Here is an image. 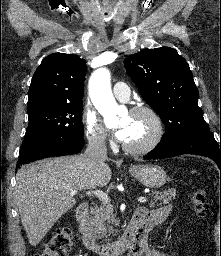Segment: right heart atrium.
<instances>
[{
	"instance_id": "obj_1",
	"label": "right heart atrium",
	"mask_w": 221,
	"mask_h": 256,
	"mask_svg": "<svg viewBox=\"0 0 221 256\" xmlns=\"http://www.w3.org/2000/svg\"><path fill=\"white\" fill-rule=\"evenodd\" d=\"M82 121L89 143L96 147L105 146L108 141L107 132L100 123L98 115L91 107L84 109Z\"/></svg>"
}]
</instances>
